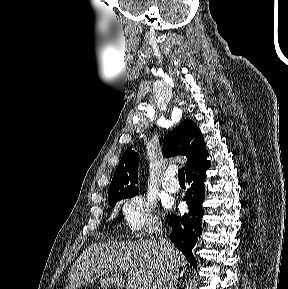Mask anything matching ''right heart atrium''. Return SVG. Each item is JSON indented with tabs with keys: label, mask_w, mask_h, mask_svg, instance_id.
<instances>
[{
	"label": "right heart atrium",
	"mask_w": 288,
	"mask_h": 289,
	"mask_svg": "<svg viewBox=\"0 0 288 289\" xmlns=\"http://www.w3.org/2000/svg\"><path fill=\"white\" fill-rule=\"evenodd\" d=\"M123 215L129 229L136 233L150 234L159 224L154 202L142 194L127 200L123 206Z\"/></svg>",
	"instance_id": "right-heart-atrium-1"
}]
</instances>
